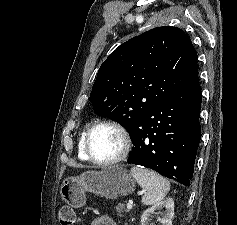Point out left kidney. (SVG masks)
<instances>
[{"mask_svg":"<svg viewBox=\"0 0 237 225\" xmlns=\"http://www.w3.org/2000/svg\"><path fill=\"white\" fill-rule=\"evenodd\" d=\"M166 209L164 212H160L162 209ZM159 211L156 213V211ZM160 214V217L157 221L161 225H172V218L174 216V200L169 198L168 200H164L154 204L152 207L145 210L141 216V225H152L149 224L150 217L154 214Z\"/></svg>","mask_w":237,"mask_h":225,"instance_id":"5707ae66","label":"left kidney"}]
</instances>
